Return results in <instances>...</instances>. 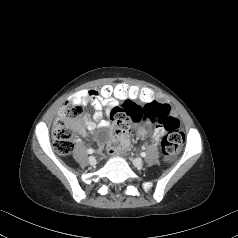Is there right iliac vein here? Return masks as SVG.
I'll use <instances>...</instances> for the list:
<instances>
[{
  "label": "right iliac vein",
  "instance_id": "1",
  "mask_svg": "<svg viewBox=\"0 0 238 238\" xmlns=\"http://www.w3.org/2000/svg\"><path fill=\"white\" fill-rule=\"evenodd\" d=\"M88 162H89L90 165H94L96 163L95 157L94 156H90L88 158Z\"/></svg>",
  "mask_w": 238,
  "mask_h": 238
}]
</instances>
